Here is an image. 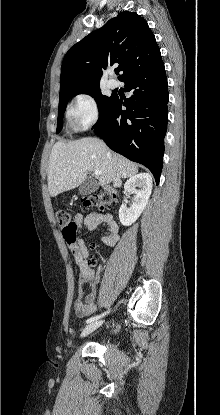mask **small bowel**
Instances as JSON below:
<instances>
[{"instance_id":"obj_1","label":"small bowel","mask_w":220,"mask_h":415,"mask_svg":"<svg viewBox=\"0 0 220 415\" xmlns=\"http://www.w3.org/2000/svg\"><path fill=\"white\" fill-rule=\"evenodd\" d=\"M75 231L64 233L62 235L65 242L73 250L79 266V282L76 289L77 299L74 302L76 316L85 318L90 316L95 310L97 299V273L91 268L88 257V248L84 240L78 236V232L82 230L94 231L99 226L105 225L108 234L102 237V242L106 247H112L119 238V229L113 216L105 212H92L88 214L77 213L74 217ZM88 285L90 292L85 296L84 287ZM117 329H111L109 334H115Z\"/></svg>"}]
</instances>
